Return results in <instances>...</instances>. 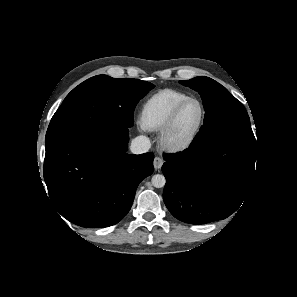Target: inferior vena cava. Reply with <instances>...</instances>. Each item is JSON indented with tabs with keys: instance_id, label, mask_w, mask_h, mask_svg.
<instances>
[{
	"instance_id": "obj_1",
	"label": "inferior vena cava",
	"mask_w": 297,
	"mask_h": 297,
	"mask_svg": "<svg viewBox=\"0 0 297 297\" xmlns=\"http://www.w3.org/2000/svg\"><path fill=\"white\" fill-rule=\"evenodd\" d=\"M150 147V139L144 135H140L132 140L130 150L133 154H142L148 152Z\"/></svg>"
}]
</instances>
